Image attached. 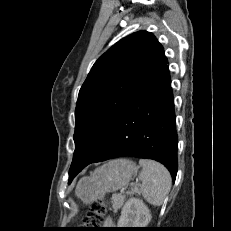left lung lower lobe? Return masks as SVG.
Wrapping results in <instances>:
<instances>
[{"label":"left lung lower lobe","mask_w":231,"mask_h":231,"mask_svg":"<svg viewBox=\"0 0 231 231\" xmlns=\"http://www.w3.org/2000/svg\"><path fill=\"white\" fill-rule=\"evenodd\" d=\"M167 64L163 51L113 119L89 160L69 173V183L87 165L120 156L159 161L175 181L177 133Z\"/></svg>","instance_id":"0a47b994"}]
</instances>
